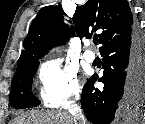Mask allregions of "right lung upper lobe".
I'll use <instances>...</instances> for the list:
<instances>
[{"label":"right lung upper lobe","instance_id":"cb5924a9","mask_svg":"<svg viewBox=\"0 0 145 124\" xmlns=\"http://www.w3.org/2000/svg\"><path fill=\"white\" fill-rule=\"evenodd\" d=\"M62 14V8L57 6H46L38 12L24 40V50L17 61L16 73L38 61L53 46L68 41L74 34L63 23ZM73 22L79 38L90 37L101 30L98 36L102 47L131 27L133 16L127 0H88L76 8Z\"/></svg>","mask_w":145,"mask_h":124}]
</instances>
